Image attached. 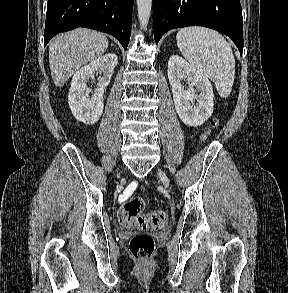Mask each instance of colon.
Listing matches in <instances>:
<instances>
[{"instance_id":"colon-1","label":"colon","mask_w":288,"mask_h":293,"mask_svg":"<svg viewBox=\"0 0 288 293\" xmlns=\"http://www.w3.org/2000/svg\"><path fill=\"white\" fill-rule=\"evenodd\" d=\"M218 125L217 120L211 122L210 128L202 134L205 141ZM145 201L141 197H134L123 203L119 209V221L129 229L146 230L159 229L166 225L168 215L162 210L143 213ZM154 251V240L147 234L134 236L130 241V252L134 258L145 260L151 257Z\"/></svg>"}]
</instances>
